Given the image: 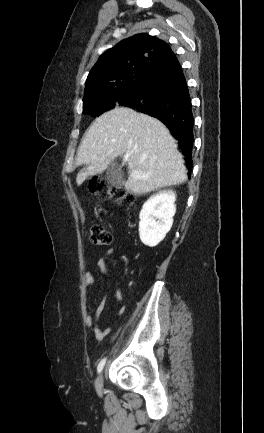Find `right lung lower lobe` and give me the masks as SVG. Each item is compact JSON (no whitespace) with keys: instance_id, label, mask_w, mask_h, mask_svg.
<instances>
[{"instance_id":"1","label":"right lung lower lobe","mask_w":264,"mask_h":433,"mask_svg":"<svg viewBox=\"0 0 264 433\" xmlns=\"http://www.w3.org/2000/svg\"><path fill=\"white\" fill-rule=\"evenodd\" d=\"M123 106L160 120L179 141L192 170L194 119L191 98L182 68L173 55L142 83L138 93Z\"/></svg>"}]
</instances>
